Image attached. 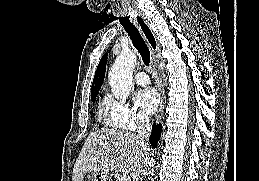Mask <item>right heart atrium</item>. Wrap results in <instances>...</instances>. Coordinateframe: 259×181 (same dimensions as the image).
<instances>
[{
  "label": "right heart atrium",
  "instance_id": "1",
  "mask_svg": "<svg viewBox=\"0 0 259 181\" xmlns=\"http://www.w3.org/2000/svg\"><path fill=\"white\" fill-rule=\"evenodd\" d=\"M107 124L124 129L136 130L148 123V117L125 101L117 100L110 95L104 99Z\"/></svg>",
  "mask_w": 259,
  "mask_h": 181
}]
</instances>
